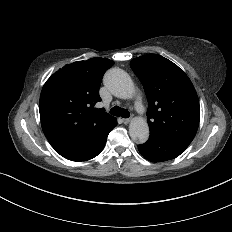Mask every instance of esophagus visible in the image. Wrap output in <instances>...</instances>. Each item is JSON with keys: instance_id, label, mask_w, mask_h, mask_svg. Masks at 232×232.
Returning <instances> with one entry per match:
<instances>
[{"instance_id": "obj_1", "label": "esophagus", "mask_w": 232, "mask_h": 232, "mask_svg": "<svg viewBox=\"0 0 232 232\" xmlns=\"http://www.w3.org/2000/svg\"><path fill=\"white\" fill-rule=\"evenodd\" d=\"M130 120H131L130 118H124L123 119V123L124 124H128L130 122Z\"/></svg>"}]
</instances>
